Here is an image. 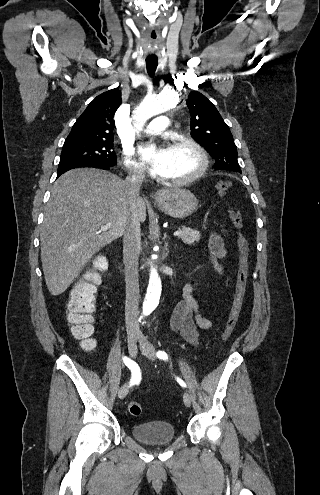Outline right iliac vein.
Returning <instances> with one entry per match:
<instances>
[{"label": "right iliac vein", "mask_w": 320, "mask_h": 495, "mask_svg": "<svg viewBox=\"0 0 320 495\" xmlns=\"http://www.w3.org/2000/svg\"><path fill=\"white\" fill-rule=\"evenodd\" d=\"M128 351L131 357L135 358L137 355V336L134 333H128L127 336ZM128 382L125 383L118 392V397L124 399L128 393Z\"/></svg>", "instance_id": "obj_1"}]
</instances>
